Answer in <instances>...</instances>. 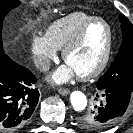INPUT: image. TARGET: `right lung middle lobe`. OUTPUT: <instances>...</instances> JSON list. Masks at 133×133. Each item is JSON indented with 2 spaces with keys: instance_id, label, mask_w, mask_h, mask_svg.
<instances>
[{
  "instance_id": "dd1d6c3e",
  "label": "right lung middle lobe",
  "mask_w": 133,
  "mask_h": 133,
  "mask_svg": "<svg viewBox=\"0 0 133 133\" xmlns=\"http://www.w3.org/2000/svg\"><path fill=\"white\" fill-rule=\"evenodd\" d=\"M20 5V1L15 0H0V56L5 55L2 46V22L4 17L9 13L10 10Z\"/></svg>"
}]
</instances>
